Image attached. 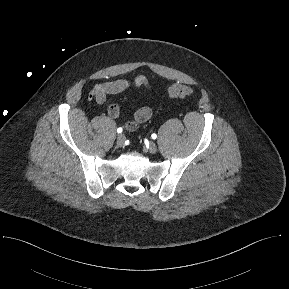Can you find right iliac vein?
<instances>
[{
  "label": "right iliac vein",
  "instance_id": "63e3f726",
  "mask_svg": "<svg viewBox=\"0 0 289 289\" xmlns=\"http://www.w3.org/2000/svg\"><path fill=\"white\" fill-rule=\"evenodd\" d=\"M124 143H125V136L123 134H119L116 140L117 146L121 147L124 145Z\"/></svg>",
  "mask_w": 289,
  "mask_h": 289
}]
</instances>
